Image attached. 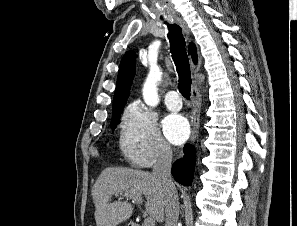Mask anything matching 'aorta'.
<instances>
[{
    "mask_svg": "<svg viewBox=\"0 0 297 226\" xmlns=\"http://www.w3.org/2000/svg\"><path fill=\"white\" fill-rule=\"evenodd\" d=\"M161 77V70L158 67H152L143 85V99L150 107H155L159 102L157 84L161 80Z\"/></svg>",
    "mask_w": 297,
    "mask_h": 226,
    "instance_id": "762f6f07",
    "label": "aorta"
}]
</instances>
